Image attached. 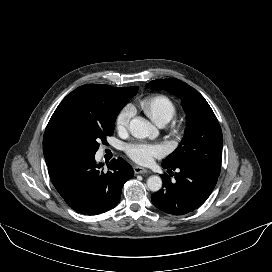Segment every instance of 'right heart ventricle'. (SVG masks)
Here are the masks:
<instances>
[{"instance_id":"obj_1","label":"right heart ventricle","mask_w":272,"mask_h":272,"mask_svg":"<svg viewBox=\"0 0 272 272\" xmlns=\"http://www.w3.org/2000/svg\"><path fill=\"white\" fill-rule=\"evenodd\" d=\"M138 107L158 126L169 123L177 113L175 103L161 94L144 98L139 102Z\"/></svg>"}]
</instances>
